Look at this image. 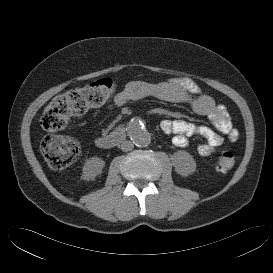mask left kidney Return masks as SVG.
<instances>
[{"label": "left kidney", "instance_id": "1", "mask_svg": "<svg viewBox=\"0 0 273 273\" xmlns=\"http://www.w3.org/2000/svg\"><path fill=\"white\" fill-rule=\"evenodd\" d=\"M171 159L175 171L182 176H187L196 170L195 160L185 150L175 152Z\"/></svg>", "mask_w": 273, "mask_h": 273}]
</instances>
